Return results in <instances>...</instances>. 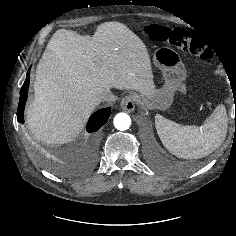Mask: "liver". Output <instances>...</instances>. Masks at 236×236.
<instances>
[{
  "label": "liver",
  "mask_w": 236,
  "mask_h": 236,
  "mask_svg": "<svg viewBox=\"0 0 236 236\" xmlns=\"http://www.w3.org/2000/svg\"><path fill=\"white\" fill-rule=\"evenodd\" d=\"M111 88H155L143 41L116 21L98 25L93 36L57 30L37 65L35 95L26 109L31 133L47 144L71 141Z\"/></svg>",
  "instance_id": "liver-1"
}]
</instances>
